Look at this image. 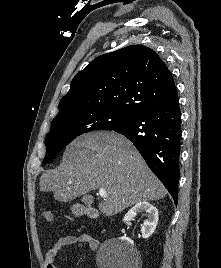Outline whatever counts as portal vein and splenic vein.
Returning <instances> with one entry per match:
<instances>
[{
    "mask_svg": "<svg viewBox=\"0 0 221 268\" xmlns=\"http://www.w3.org/2000/svg\"><path fill=\"white\" fill-rule=\"evenodd\" d=\"M99 194L102 198L107 197V193H106L105 189H103V188L99 189Z\"/></svg>",
    "mask_w": 221,
    "mask_h": 268,
    "instance_id": "portal-vein-and-splenic-vein-1",
    "label": "portal vein and splenic vein"
}]
</instances>
